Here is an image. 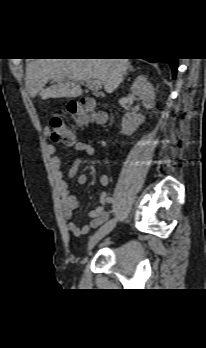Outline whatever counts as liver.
<instances>
[{"label":"liver","instance_id":"obj_1","mask_svg":"<svg viewBox=\"0 0 206 348\" xmlns=\"http://www.w3.org/2000/svg\"><path fill=\"white\" fill-rule=\"evenodd\" d=\"M130 63L128 59H33L26 67V88L31 97H78L79 82L99 80L107 93L120 85ZM54 79L56 84L45 85Z\"/></svg>","mask_w":206,"mask_h":348}]
</instances>
